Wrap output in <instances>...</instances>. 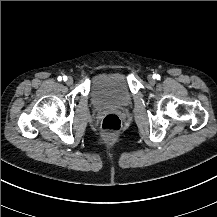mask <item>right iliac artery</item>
Wrapping results in <instances>:
<instances>
[{
	"label": "right iliac artery",
	"instance_id": "obj_1",
	"mask_svg": "<svg viewBox=\"0 0 217 217\" xmlns=\"http://www.w3.org/2000/svg\"><path fill=\"white\" fill-rule=\"evenodd\" d=\"M62 79H63L64 81H66V80H67V76H63V77L59 76V77H58V81H61Z\"/></svg>",
	"mask_w": 217,
	"mask_h": 217
}]
</instances>
